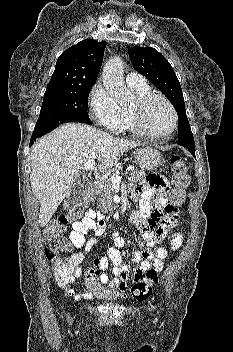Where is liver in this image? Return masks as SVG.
Segmentation results:
<instances>
[{
  "instance_id": "1",
  "label": "liver",
  "mask_w": 233,
  "mask_h": 352,
  "mask_svg": "<svg viewBox=\"0 0 233 352\" xmlns=\"http://www.w3.org/2000/svg\"><path fill=\"white\" fill-rule=\"evenodd\" d=\"M139 145L79 123L61 125L38 140L30 153V181L40 202L39 225L44 227L64 198L73 192L85 162L97 158L100 171H107L124 152Z\"/></svg>"
}]
</instances>
